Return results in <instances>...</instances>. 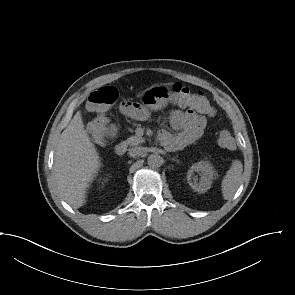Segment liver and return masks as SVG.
Here are the masks:
<instances>
[{"label": "liver", "instance_id": "liver-1", "mask_svg": "<svg viewBox=\"0 0 295 295\" xmlns=\"http://www.w3.org/2000/svg\"><path fill=\"white\" fill-rule=\"evenodd\" d=\"M100 167L101 158L78 111L60 136L53 165L59 193L73 208L86 203L87 188Z\"/></svg>", "mask_w": 295, "mask_h": 295}]
</instances>
